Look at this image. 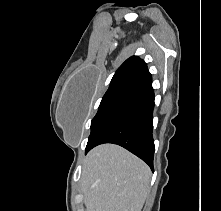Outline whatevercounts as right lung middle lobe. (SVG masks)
Returning a JSON list of instances; mask_svg holds the SVG:
<instances>
[{"instance_id": "right-lung-middle-lobe-1", "label": "right lung middle lobe", "mask_w": 221, "mask_h": 211, "mask_svg": "<svg viewBox=\"0 0 221 211\" xmlns=\"http://www.w3.org/2000/svg\"><path fill=\"white\" fill-rule=\"evenodd\" d=\"M136 93L137 91L126 89L105 93L98 112L91 121V134L88 138V144L102 132Z\"/></svg>"}]
</instances>
